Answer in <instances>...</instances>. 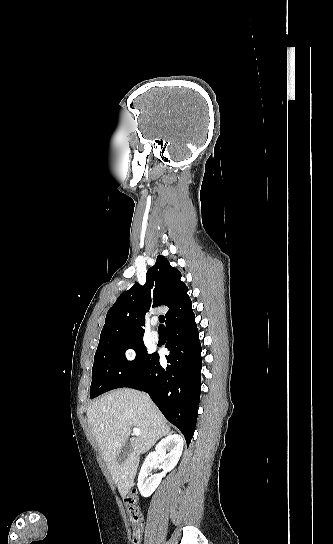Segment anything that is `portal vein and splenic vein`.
<instances>
[{"mask_svg":"<svg viewBox=\"0 0 333 544\" xmlns=\"http://www.w3.org/2000/svg\"><path fill=\"white\" fill-rule=\"evenodd\" d=\"M133 434H134L136 437H139L140 434H141L140 429H138V428H133Z\"/></svg>","mask_w":333,"mask_h":544,"instance_id":"1","label":"portal vein and splenic vein"}]
</instances>
